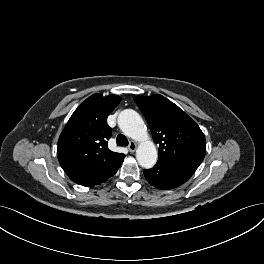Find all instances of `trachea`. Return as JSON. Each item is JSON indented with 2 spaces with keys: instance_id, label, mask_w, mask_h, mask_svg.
Listing matches in <instances>:
<instances>
[{
  "instance_id": "1",
  "label": "trachea",
  "mask_w": 264,
  "mask_h": 264,
  "mask_svg": "<svg viewBox=\"0 0 264 264\" xmlns=\"http://www.w3.org/2000/svg\"><path fill=\"white\" fill-rule=\"evenodd\" d=\"M116 142L118 146H128V139L123 135L119 134L116 138Z\"/></svg>"
}]
</instances>
